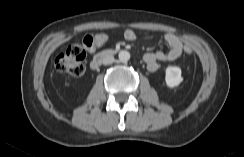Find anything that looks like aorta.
I'll list each match as a JSON object with an SVG mask.
<instances>
[{
  "label": "aorta",
  "mask_w": 244,
  "mask_h": 157,
  "mask_svg": "<svg viewBox=\"0 0 244 157\" xmlns=\"http://www.w3.org/2000/svg\"><path fill=\"white\" fill-rule=\"evenodd\" d=\"M119 60L123 63L128 62L130 59V53L126 50H122L118 54Z\"/></svg>",
  "instance_id": "1"
}]
</instances>
